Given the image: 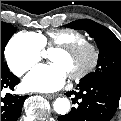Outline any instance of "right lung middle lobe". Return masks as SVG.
<instances>
[{"instance_id": "1", "label": "right lung middle lobe", "mask_w": 121, "mask_h": 121, "mask_svg": "<svg viewBox=\"0 0 121 121\" xmlns=\"http://www.w3.org/2000/svg\"><path fill=\"white\" fill-rule=\"evenodd\" d=\"M15 29L16 28L14 26L1 21V64L4 63L3 60L5 46L10 37L15 33Z\"/></svg>"}]
</instances>
